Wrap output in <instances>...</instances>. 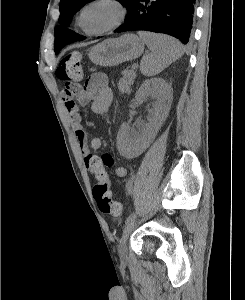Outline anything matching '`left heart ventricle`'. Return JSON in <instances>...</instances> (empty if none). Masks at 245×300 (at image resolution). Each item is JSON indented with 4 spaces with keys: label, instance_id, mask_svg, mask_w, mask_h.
I'll return each instance as SVG.
<instances>
[{
    "label": "left heart ventricle",
    "instance_id": "1",
    "mask_svg": "<svg viewBox=\"0 0 245 300\" xmlns=\"http://www.w3.org/2000/svg\"><path fill=\"white\" fill-rule=\"evenodd\" d=\"M117 13L108 5H96L89 8L83 17V24L89 30L107 27L116 19Z\"/></svg>",
    "mask_w": 245,
    "mask_h": 300
}]
</instances>
